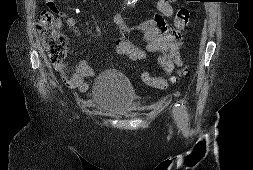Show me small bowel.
I'll return each mask as SVG.
<instances>
[{"mask_svg": "<svg viewBox=\"0 0 253 170\" xmlns=\"http://www.w3.org/2000/svg\"><path fill=\"white\" fill-rule=\"evenodd\" d=\"M175 1L158 0V13L153 18L145 20L135 26L129 25L122 15L116 14L114 16V22L121 29V36L116 41L117 52L132 61L146 59L148 52L157 53V62L167 75H171L176 67L182 66V60L179 54L182 38L179 31L185 26L179 27L177 25V17L174 20V28H171L166 21L167 17L173 15V3ZM46 5L49 10L57 14L54 24L56 30H59L62 27L63 21H65L67 26L73 29L76 36L81 35V31L77 28V18L75 16L68 15L66 12L60 10L54 0H46ZM133 28L143 32V39L146 43L145 49L135 46L128 39V33ZM53 67L62 75L63 81L69 88L76 89L80 92H86L88 90V80L93 77L94 72L86 60L81 61L71 73H69V68L63 62L54 63ZM141 79L147 85H149L148 80L153 79L158 83V86L155 88L163 89L168 86L165 79L154 77L147 71L141 73Z\"/></svg>", "mask_w": 253, "mask_h": 170, "instance_id": "obj_1", "label": "small bowel"}]
</instances>
